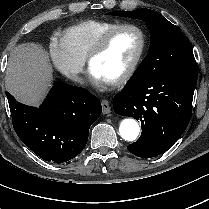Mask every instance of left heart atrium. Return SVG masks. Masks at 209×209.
Segmentation results:
<instances>
[{"label": "left heart atrium", "mask_w": 209, "mask_h": 209, "mask_svg": "<svg viewBox=\"0 0 209 209\" xmlns=\"http://www.w3.org/2000/svg\"><path fill=\"white\" fill-rule=\"evenodd\" d=\"M89 76L94 83L100 84V83L105 82V80L102 78V76L97 71H95L93 68L90 69Z\"/></svg>", "instance_id": "1"}]
</instances>
